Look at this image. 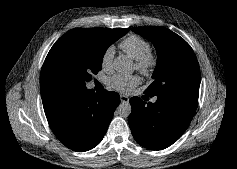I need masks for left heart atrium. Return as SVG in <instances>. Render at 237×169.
Returning <instances> with one entry per match:
<instances>
[{
    "label": "left heart atrium",
    "mask_w": 237,
    "mask_h": 169,
    "mask_svg": "<svg viewBox=\"0 0 237 169\" xmlns=\"http://www.w3.org/2000/svg\"><path fill=\"white\" fill-rule=\"evenodd\" d=\"M139 83L136 75L116 74L109 79V86L120 92H128Z\"/></svg>",
    "instance_id": "1"
}]
</instances>
